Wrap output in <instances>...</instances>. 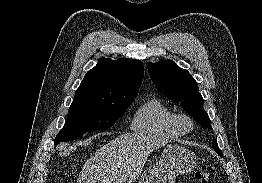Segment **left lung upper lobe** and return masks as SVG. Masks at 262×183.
I'll return each mask as SVG.
<instances>
[{"label":"left lung upper lobe","mask_w":262,"mask_h":183,"mask_svg":"<svg viewBox=\"0 0 262 183\" xmlns=\"http://www.w3.org/2000/svg\"><path fill=\"white\" fill-rule=\"evenodd\" d=\"M148 72L157 89L170 100L180 103L203 128L211 129V121L203 108L204 100L198 85L190 73L171 60L147 63ZM214 150L222 155L217 140L213 138Z\"/></svg>","instance_id":"left-lung-upper-lobe-1"}]
</instances>
